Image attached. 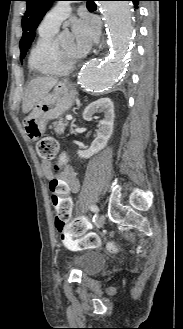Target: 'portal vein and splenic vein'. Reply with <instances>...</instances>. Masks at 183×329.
Returning a JSON list of instances; mask_svg holds the SVG:
<instances>
[{
  "mask_svg": "<svg viewBox=\"0 0 183 329\" xmlns=\"http://www.w3.org/2000/svg\"><path fill=\"white\" fill-rule=\"evenodd\" d=\"M66 120H72V116L71 115H67L66 116Z\"/></svg>",
  "mask_w": 183,
  "mask_h": 329,
  "instance_id": "obj_1",
  "label": "portal vein and splenic vein"
}]
</instances>
